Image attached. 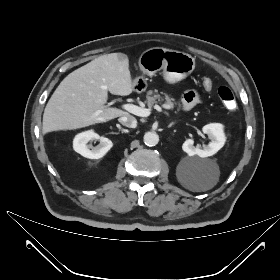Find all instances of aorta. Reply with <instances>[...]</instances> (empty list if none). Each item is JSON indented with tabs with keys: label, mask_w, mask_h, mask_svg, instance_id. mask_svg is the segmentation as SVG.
Here are the masks:
<instances>
[{
	"label": "aorta",
	"mask_w": 280,
	"mask_h": 280,
	"mask_svg": "<svg viewBox=\"0 0 280 280\" xmlns=\"http://www.w3.org/2000/svg\"><path fill=\"white\" fill-rule=\"evenodd\" d=\"M143 141L147 146H155L159 142V136L156 132H147L144 135Z\"/></svg>",
	"instance_id": "1"
}]
</instances>
